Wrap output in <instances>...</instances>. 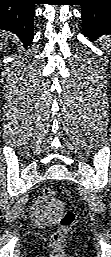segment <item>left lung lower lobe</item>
Returning <instances> with one entry per match:
<instances>
[{
	"instance_id": "left-lung-lower-lobe-1",
	"label": "left lung lower lobe",
	"mask_w": 111,
	"mask_h": 257,
	"mask_svg": "<svg viewBox=\"0 0 111 257\" xmlns=\"http://www.w3.org/2000/svg\"><path fill=\"white\" fill-rule=\"evenodd\" d=\"M81 6L85 35L97 39L111 34V0H83Z\"/></svg>"
}]
</instances>
